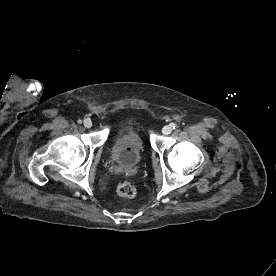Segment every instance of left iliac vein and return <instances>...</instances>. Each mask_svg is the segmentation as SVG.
Instances as JSON below:
<instances>
[{"mask_svg": "<svg viewBox=\"0 0 276 276\" xmlns=\"http://www.w3.org/2000/svg\"><path fill=\"white\" fill-rule=\"evenodd\" d=\"M172 132V127L170 125H166L162 129V133L168 135Z\"/></svg>", "mask_w": 276, "mask_h": 276, "instance_id": "left-iliac-vein-1", "label": "left iliac vein"}]
</instances>
